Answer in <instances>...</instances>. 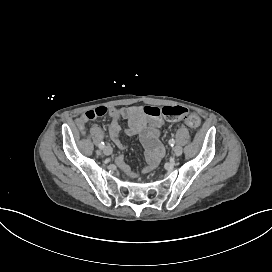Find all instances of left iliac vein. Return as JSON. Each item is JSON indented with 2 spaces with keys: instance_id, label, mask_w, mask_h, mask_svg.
<instances>
[{
  "instance_id": "left-iliac-vein-1",
  "label": "left iliac vein",
  "mask_w": 272,
  "mask_h": 272,
  "mask_svg": "<svg viewBox=\"0 0 272 272\" xmlns=\"http://www.w3.org/2000/svg\"><path fill=\"white\" fill-rule=\"evenodd\" d=\"M173 150H174V155L175 156H177V157L181 156V154H182V148L180 146H175Z\"/></svg>"
}]
</instances>
